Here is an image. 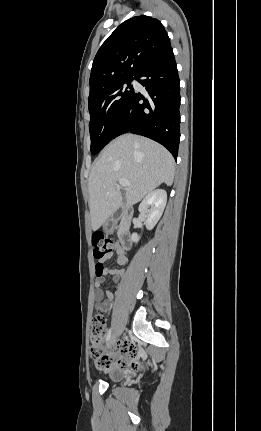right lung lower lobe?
<instances>
[{"label":"right lung lower lobe","mask_w":261,"mask_h":431,"mask_svg":"<svg viewBox=\"0 0 261 431\" xmlns=\"http://www.w3.org/2000/svg\"><path fill=\"white\" fill-rule=\"evenodd\" d=\"M147 96L134 92L113 138L131 132L165 146L177 159L180 140V81L172 47L147 63L135 77Z\"/></svg>","instance_id":"obj_1"}]
</instances>
